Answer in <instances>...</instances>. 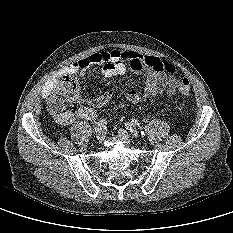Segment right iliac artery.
Here are the masks:
<instances>
[{
    "label": "right iliac artery",
    "mask_w": 233,
    "mask_h": 233,
    "mask_svg": "<svg viewBox=\"0 0 233 233\" xmlns=\"http://www.w3.org/2000/svg\"><path fill=\"white\" fill-rule=\"evenodd\" d=\"M106 121L105 120H101L97 123V126L95 127V132H98L99 130H101L102 128H104L106 126Z\"/></svg>",
    "instance_id": "82829eb1"
}]
</instances>
